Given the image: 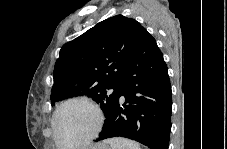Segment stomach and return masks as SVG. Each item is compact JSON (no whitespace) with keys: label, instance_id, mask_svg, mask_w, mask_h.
<instances>
[{"label":"stomach","instance_id":"stomach-1","mask_svg":"<svg viewBox=\"0 0 227 149\" xmlns=\"http://www.w3.org/2000/svg\"><path fill=\"white\" fill-rule=\"evenodd\" d=\"M93 149H109L107 145L102 144V145H98L97 147L93 148Z\"/></svg>","mask_w":227,"mask_h":149}]
</instances>
